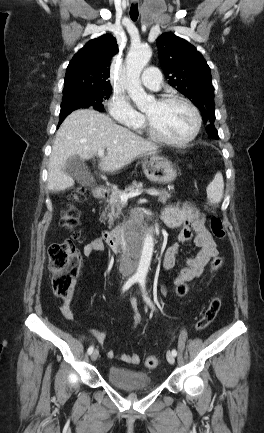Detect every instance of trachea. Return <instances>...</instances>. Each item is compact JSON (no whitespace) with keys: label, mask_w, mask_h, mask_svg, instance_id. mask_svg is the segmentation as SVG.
Returning a JSON list of instances; mask_svg holds the SVG:
<instances>
[{"label":"trachea","mask_w":264,"mask_h":433,"mask_svg":"<svg viewBox=\"0 0 264 433\" xmlns=\"http://www.w3.org/2000/svg\"><path fill=\"white\" fill-rule=\"evenodd\" d=\"M130 17L133 21L138 19V4H132L130 7Z\"/></svg>","instance_id":"1"}]
</instances>
